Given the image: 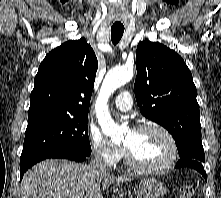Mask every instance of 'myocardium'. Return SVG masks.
<instances>
[{
  "label": "myocardium",
  "instance_id": "f54148a6",
  "mask_svg": "<svg viewBox=\"0 0 221 198\" xmlns=\"http://www.w3.org/2000/svg\"><path fill=\"white\" fill-rule=\"evenodd\" d=\"M148 128H154L159 130L169 141L170 155L168 159L159 166H153V167L143 166L134 159L130 150L124 146L123 150H124L125 161L126 164L134 171L144 174H160L169 170L175 164L178 157V144L173 134L165 126L155 121H147L140 123L139 125L135 126L132 131L139 132Z\"/></svg>",
  "mask_w": 221,
  "mask_h": 198
}]
</instances>
